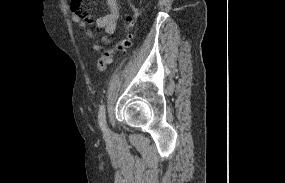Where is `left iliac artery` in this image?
<instances>
[{
    "instance_id": "44dca946",
    "label": "left iliac artery",
    "mask_w": 285,
    "mask_h": 183,
    "mask_svg": "<svg viewBox=\"0 0 285 183\" xmlns=\"http://www.w3.org/2000/svg\"><path fill=\"white\" fill-rule=\"evenodd\" d=\"M98 121L102 130H106V108L105 104H102L98 112Z\"/></svg>"
}]
</instances>
